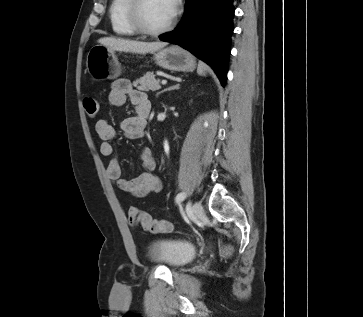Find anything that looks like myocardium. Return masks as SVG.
<instances>
[{"mask_svg":"<svg viewBox=\"0 0 363 317\" xmlns=\"http://www.w3.org/2000/svg\"><path fill=\"white\" fill-rule=\"evenodd\" d=\"M144 0H129V3L127 5L126 9V18L127 22L130 25V27L138 34L146 36V37H157L160 35H163L167 33L172 26L174 25V22L176 20L177 16V10H175L172 13L171 18L169 21L161 28L159 29H149L144 26L142 23L141 17H140V11L141 6Z\"/></svg>","mask_w":363,"mask_h":317,"instance_id":"myocardium-1","label":"myocardium"}]
</instances>
